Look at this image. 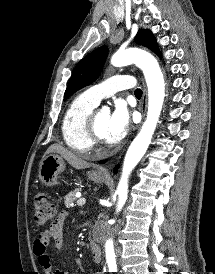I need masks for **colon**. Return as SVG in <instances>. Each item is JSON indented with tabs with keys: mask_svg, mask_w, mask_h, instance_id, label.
<instances>
[{
	"mask_svg": "<svg viewBox=\"0 0 215 274\" xmlns=\"http://www.w3.org/2000/svg\"><path fill=\"white\" fill-rule=\"evenodd\" d=\"M34 212L36 224L44 226L53 219L55 206L46 194L39 193L34 199Z\"/></svg>",
	"mask_w": 215,
	"mask_h": 274,
	"instance_id": "5ec220e1",
	"label": "colon"
}]
</instances>
